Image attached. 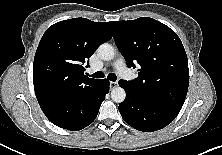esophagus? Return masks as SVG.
<instances>
[{"instance_id": "obj_1", "label": "esophagus", "mask_w": 222, "mask_h": 155, "mask_svg": "<svg viewBox=\"0 0 222 155\" xmlns=\"http://www.w3.org/2000/svg\"><path fill=\"white\" fill-rule=\"evenodd\" d=\"M117 85H118L117 82H113V81L110 82V87L111 88H115Z\"/></svg>"}]
</instances>
